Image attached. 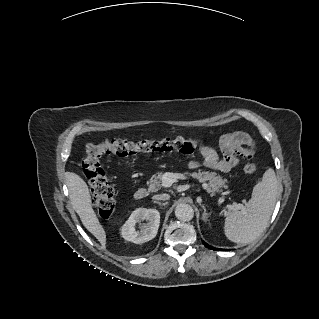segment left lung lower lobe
<instances>
[{"label":"left lung lower lobe","instance_id":"left-lung-lower-lobe-1","mask_svg":"<svg viewBox=\"0 0 319 319\" xmlns=\"http://www.w3.org/2000/svg\"><path fill=\"white\" fill-rule=\"evenodd\" d=\"M202 243L209 249H212V250H217V251H220V250H229V249H219V248H214L212 246H209L207 243H205L204 241H202Z\"/></svg>","mask_w":319,"mask_h":319}]
</instances>
